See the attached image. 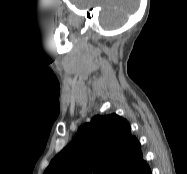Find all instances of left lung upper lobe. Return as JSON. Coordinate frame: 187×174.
I'll use <instances>...</instances> for the list:
<instances>
[{"label": "left lung upper lobe", "mask_w": 187, "mask_h": 174, "mask_svg": "<svg viewBox=\"0 0 187 174\" xmlns=\"http://www.w3.org/2000/svg\"><path fill=\"white\" fill-rule=\"evenodd\" d=\"M139 163L146 164L130 125L110 114L82 125L44 174H130Z\"/></svg>", "instance_id": "obj_1"}]
</instances>
